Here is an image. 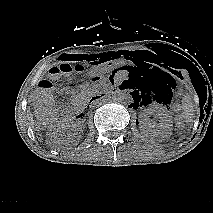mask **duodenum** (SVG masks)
<instances>
[{"instance_id":"410a0bca","label":"duodenum","mask_w":213,"mask_h":213,"mask_svg":"<svg viewBox=\"0 0 213 213\" xmlns=\"http://www.w3.org/2000/svg\"><path fill=\"white\" fill-rule=\"evenodd\" d=\"M107 97V94L103 91L100 93L95 94L89 101L88 104H94L96 102L102 101ZM72 111L75 113L76 118H79L83 113H84V109L82 107H78L73 105L72 106ZM71 111L67 112V114H70Z\"/></svg>"}]
</instances>
